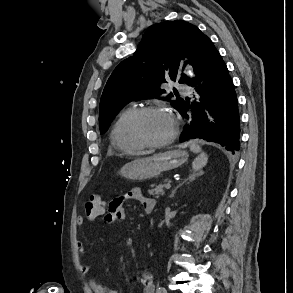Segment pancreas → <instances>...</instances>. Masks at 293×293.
I'll return each instance as SVG.
<instances>
[{
  "label": "pancreas",
  "instance_id": "1",
  "mask_svg": "<svg viewBox=\"0 0 293 293\" xmlns=\"http://www.w3.org/2000/svg\"><path fill=\"white\" fill-rule=\"evenodd\" d=\"M166 184L165 183H161L158 185H152L151 189L148 190V194L158 198L159 196H163L165 194V188Z\"/></svg>",
  "mask_w": 293,
  "mask_h": 293
}]
</instances>
